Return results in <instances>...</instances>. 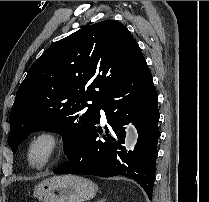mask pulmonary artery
Returning a JSON list of instances; mask_svg holds the SVG:
<instances>
[{"mask_svg": "<svg viewBox=\"0 0 209 202\" xmlns=\"http://www.w3.org/2000/svg\"><path fill=\"white\" fill-rule=\"evenodd\" d=\"M101 114H103V110L101 109Z\"/></svg>", "mask_w": 209, "mask_h": 202, "instance_id": "1", "label": "pulmonary artery"}]
</instances>
